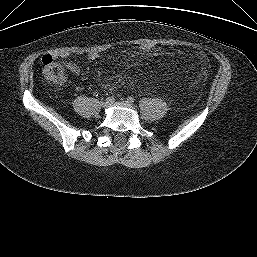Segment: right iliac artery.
<instances>
[{
  "instance_id": "82829eb1",
  "label": "right iliac artery",
  "mask_w": 257,
  "mask_h": 257,
  "mask_svg": "<svg viewBox=\"0 0 257 257\" xmlns=\"http://www.w3.org/2000/svg\"><path fill=\"white\" fill-rule=\"evenodd\" d=\"M106 101L109 102V103H113L115 101L114 97L113 96H109L106 98Z\"/></svg>"
}]
</instances>
